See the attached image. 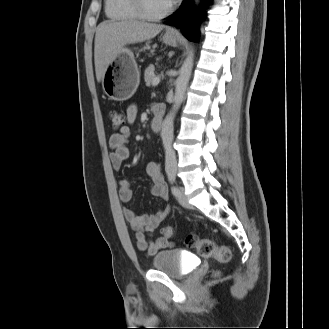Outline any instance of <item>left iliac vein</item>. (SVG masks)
<instances>
[{
	"mask_svg": "<svg viewBox=\"0 0 329 329\" xmlns=\"http://www.w3.org/2000/svg\"><path fill=\"white\" fill-rule=\"evenodd\" d=\"M177 199L181 206L185 208H192V205L187 200V197L185 195V190L183 187H180Z\"/></svg>",
	"mask_w": 329,
	"mask_h": 329,
	"instance_id": "obj_1",
	"label": "left iliac vein"
}]
</instances>
